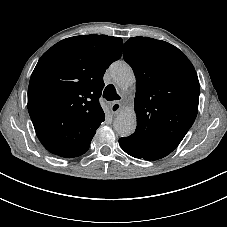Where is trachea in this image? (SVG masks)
I'll return each instance as SVG.
<instances>
[{
    "instance_id": "trachea-1",
    "label": "trachea",
    "mask_w": 227,
    "mask_h": 227,
    "mask_svg": "<svg viewBox=\"0 0 227 227\" xmlns=\"http://www.w3.org/2000/svg\"><path fill=\"white\" fill-rule=\"evenodd\" d=\"M103 97L108 101L120 99V96L117 94L116 89L112 84H109L105 88V90L103 92Z\"/></svg>"
}]
</instances>
